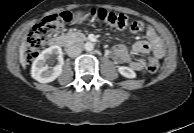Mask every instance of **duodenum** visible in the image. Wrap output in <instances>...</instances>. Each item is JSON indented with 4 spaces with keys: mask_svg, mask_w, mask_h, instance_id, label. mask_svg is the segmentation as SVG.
Segmentation results:
<instances>
[{
    "mask_svg": "<svg viewBox=\"0 0 194 133\" xmlns=\"http://www.w3.org/2000/svg\"><path fill=\"white\" fill-rule=\"evenodd\" d=\"M74 41L76 43H81V44H85L87 42V39L83 36H76L74 38ZM67 43L66 39L61 37V36H58V37H55L52 41H51V45L52 46H55V47H63L65 46Z\"/></svg>",
    "mask_w": 194,
    "mask_h": 133,
    "instance_id": "obj_1",
    "label": "duodenum"
}]
</instances>
